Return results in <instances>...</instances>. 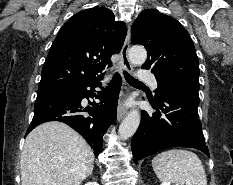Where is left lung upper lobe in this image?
Wrapping results in <instances>:
<instances>
[{
    "label": "left lung upper lobe",
    "mask_w": 233,
    "mask_h": 185,
    "mask_svg": "<svg viewBox=\"0 0 233 185\" xmlns=\"http://www.w3.org/2000/svg\"><path fill=\"white\" fill-rule=\"evenodd\" d=\"M131 43L142 44L148 57L142 65L155 74V98L170 86L199 84V62L189 33L174 18L157 10H143L131 28Z\"/></svg>",
    "instance_id": "1"
}]
</instances>
